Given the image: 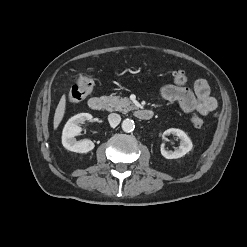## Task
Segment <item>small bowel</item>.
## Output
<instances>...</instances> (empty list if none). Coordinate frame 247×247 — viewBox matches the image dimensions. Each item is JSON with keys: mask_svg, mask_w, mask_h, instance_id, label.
I'll use <instances>...</instances> for the list:
<instances>
[{"mask_svg": "<svg viewBox=\"0 0 247 247\" xmlns=\"http://www.w3.org/2000/svg\"><path fill=\"white\" fill-rule=\"evenodd\" d=\"M160 99L178 103L183 112L188 114L197 112L206 116L217 107V101L210 95V88L205 79L195 82L194 91L186 86L168 84L161 88Z\"/></svg>", "mask_w": 247, "mask_h": 247, "instance_id": "1", "label": "small bowel"}]
</instances>
